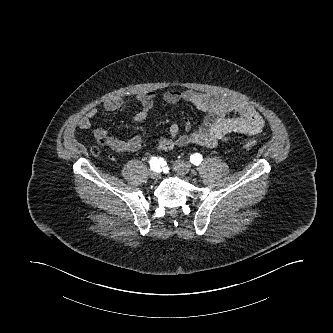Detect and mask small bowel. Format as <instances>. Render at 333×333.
Wrapping results in <instances>:
<instances>
[{"label":"small bowel","mask_w":333,"mask_h":333,"mask_svg":"<svg viewBox=\"0 0 333 333\" xmlns=\"http://www.w3.org/2000/svg\"><path fill=\"white\" fill-rule=\"evenodd\" d=\"M164 100L169 104H177L186 101L205 113L202 124L192 130V124L184 119L182 126L172 124L168 137L156 140V148L161 151L170 150L176 146L198 145L202 147H214L220 142L233 139L237 135L257 136L262 133L264 119L262 115L247 101L233 97L200 93L191 89H170L163 94ZM140 104V110L134 115L133 121L142 123L149 116L155 103V93L147 91L136 96ZM122 98H109L103 102L107 111H115L122 107ZM97 115V109L92 108L80 121L81 129H89L92 120ZM181 127L183 133H180ZM98 140L106 138L108 147L117 152H134L141 148L143 140L140 135L123 140L113 136H107L106 131L97 128L93 132Z\"/></svg>","instance_id":"small-bowel-1"}]
</instances>
